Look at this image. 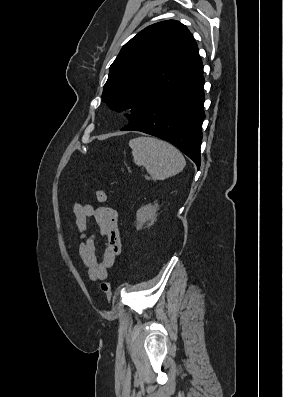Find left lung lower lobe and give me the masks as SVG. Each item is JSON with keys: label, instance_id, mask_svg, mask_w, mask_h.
I'll return each mask as SVG.
<instances>
[{"label": "left lung lower lobe", "instance_id": "obj_1", "mask_svg": "<svg viewBox=\"0 0 283 397\" xmlns=\"http://www.w3.org/2000/svg\"><path fill=\"white\" fill-rule=\"evenodd\" d=\"M203 68L173 88L122 131H141L164 139L191 158L200 168L202 123L205 118Z\"/></svg>", "mask_w": 283, "mask_h": 397}]
</instances>
